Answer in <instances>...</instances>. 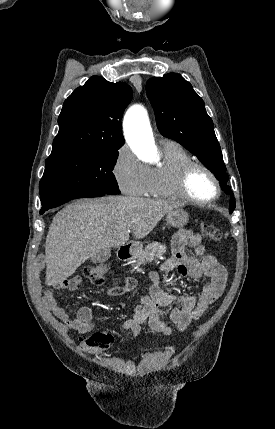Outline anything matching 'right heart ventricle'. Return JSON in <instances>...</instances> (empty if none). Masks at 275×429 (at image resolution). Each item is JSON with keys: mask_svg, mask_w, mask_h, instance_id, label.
Here are the masks:
<instances>
[{"mask_svg": "<svg viewBox=\"0 0 275 429\" xmlns=\"http://www.w3.org/2000/svg\"><path fill=\"white\" fill-rule=\"evenodd\" d=\"M161 151L163 160L150 169V183L145 195L159 199H180L175 187L176 177L180 168L193 159L175 142H163Z\"/></svg>", "mask_w": 275, "mask_h": 429, "instance_id": "1", "label": "right heart ventricle"}]
</instances>
